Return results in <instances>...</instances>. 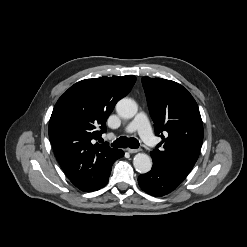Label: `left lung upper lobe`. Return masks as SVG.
<instances>
[{"label":"left lung upper lobe","instance_id":"5c2ea615","mask_svg":"<svg viewBox=\"0 0 247 247\" xmlns=\"http://www.w3.org/2000/svg\"><path fill=\"white\" fill-rule=\"evenodd\" d=\"M142 84L155 133L162 138L150 153L153 163L186 178L198 159L203 142L198 105L192 95L174 81L143 77Z\"/></svg>","mask_w":247,"mask_h":247}]
</instances>
